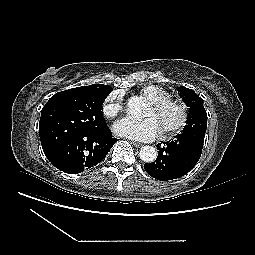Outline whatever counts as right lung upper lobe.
Returning <instances> with one entry per match:
<instances>
[{"label":"right lung upper lobe","mask_w":255,"mask_h":255,"mask_svg":"<svg viewBox=\"0 0 255 255\" xmlns=\"http://www.w3.org/2000/svg\"><path fill=\"white\" fill-rule=\"evenodd\" d=\"M77 89H92V90H100V91H112V88L108 85L103 84H92L89 86L77 87Z\"/></svg>","instance_id":"right-lung-upper-lobe-1"}]
</instances>
